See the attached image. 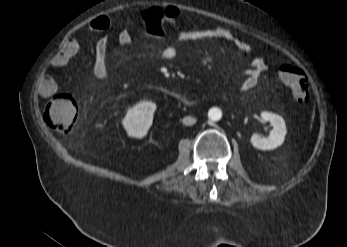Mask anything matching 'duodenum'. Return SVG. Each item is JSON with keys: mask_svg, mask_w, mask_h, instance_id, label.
I'll return each mask as SVG.
<instances>
[{"mask_svg": "<svg viewBox=\"0 0 347 247\" xmlns=\"http://www.w3.org/2000/svg\"><path fill=\"white\" fill-rule=\"evenodd\" d=\"M172 96L180 101H185V98L181 95V94H178V93H175V94H172Z\"/></svg>", "mask_w": 347, "mask_h": 247, "instance_id": "duodenum-1", "label": "duodenum"}]
</instances>
